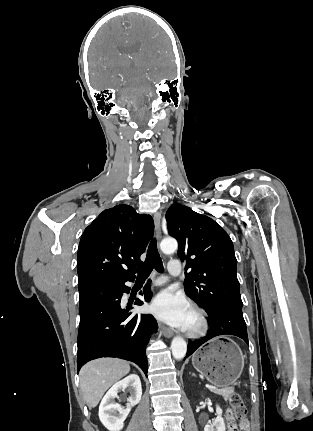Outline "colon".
<instances>
[{
    "label": "colon",
    "mask_w": 313,
    "mask_h": 431,
    "mask_svg": "<svg viewBox=\"0 0 313 431\" xmlns=\"http://www.w3.org/2000/svg\"><path fill=\"white\" fill-rule=\"evenodd\" d=\"M229 431H248L247 408L242 397L233 393L229 398Z\"/></svg>",
    "instance_id": "5ec220e1"
}]
</instances>
